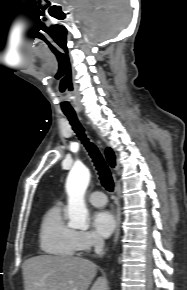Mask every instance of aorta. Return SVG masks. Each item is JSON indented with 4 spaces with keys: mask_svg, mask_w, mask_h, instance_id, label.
I'll list each match as a JSON object with an SVG mask.
<instances>
[{
    "mask_svg": "<svg viewBox=\"0 0 187 290\" xmlns=\"http://www.w3.org/2000/svg\"><path fill=\"white\" fill-rule=\"evenodd\" d=\"M90 181V172L83 165H77L70 171L66 181L68 195L69 226L74 229L87 230L88 210L85 205V192Z\"/></svg>",
    "mask_w": 187,
    "mask_h": 290,
    "instance_id": "1",
    "label": "aorta"
}]
</instances>
